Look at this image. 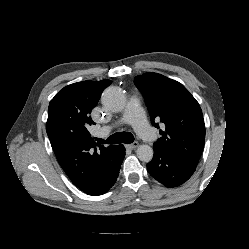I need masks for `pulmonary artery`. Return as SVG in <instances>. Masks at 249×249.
<instances>
[{
    "label": "pulmonary artery",
    "mask_w": 249,
    "mask_h": 249,
    "mask_svg": "<svg viewBox=\"0 0 249 249\" xmlns=\"http://www.w3.org/2000/svg\"><path fill=\"white\" fill-rule=\"evenodd\" d=\"M120 122L131 125L139 137L145 141H152L155 137V132L147 122L145 112L137 96L130 97L126 102ZM111 130V126H104L98 131V134L107 136Z\"/></svg>",
    "instance_id": "1"
}]
</instances>
